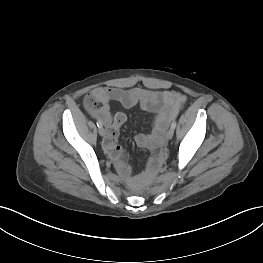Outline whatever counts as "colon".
<instances>
[{
	"label": "colon",
	"mask_w": 263,
	"mask_h": 263,
	"mask_svg": "<svg viewBox=\"0 0 263 263\" xmlns=\"http://www.w3.org/2000/svg\"><path fill=\"white\" fill-rule=\"evenodd\" d=\"M85 105L94 114H98L104 109L103 101L92 94L86 96Z\"/></svg>",
	"instance_id": "5ec220e1"
}]
</instances>
